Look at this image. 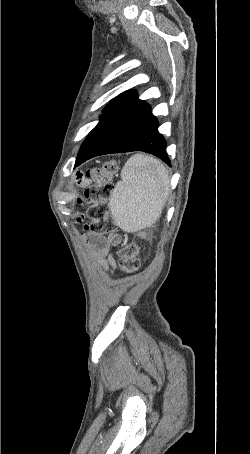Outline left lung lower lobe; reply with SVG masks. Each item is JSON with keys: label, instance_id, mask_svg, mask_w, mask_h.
Wrapping results in <instances>:
<instances>
[{"label": "left lung lower lobe", "instance_id": "obj_1", "mask_svg": "<svg viewBox=\"0 0 250 454\" xmlns=\"http://www.w3.org/2000/svg\"><path fill=\"white\" fill-rule=\"evenodd\" d=\"M143 151L171 165L166 154V141L158 132L157 119L149 104L134 95L113 112L96 130L75 166L95 156Z\"/></svg>", "mask_w": 250, "mask_h": 454}]
</instances>
